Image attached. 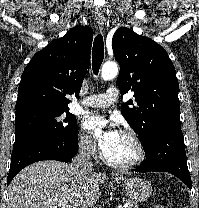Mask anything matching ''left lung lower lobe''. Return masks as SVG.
Wrapping results in <instances>:
<instances>
[{
  "label": "left lung lower lobe",
  "instance_id": "0a47b994",
  "mask_svg": "<svg viewBox=\"0 0 199 208\" xmlns=\"http://www.w3.org/2000/svg\"><path fill=\"white\" fill-rule=\"evenodd\" d=\"M146 160L136 169L137 172H169L192 187L187 167L184 138L180 125H173L157 130L150 142L143 147Z\"/></svg>",
  "mask_w": 199,
  "mask_h": 208
}]
</instances>
